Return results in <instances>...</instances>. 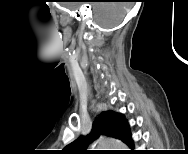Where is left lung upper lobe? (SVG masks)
Returning a JSON list of instances; mask_svg holds the SVG:
<instances>
[{"instance_id":"1","label":"left lung upper lobe","mask_w":188,"mask_h":154,"mask_svg":"<svg viewBox=\"0 0 188 154\" xmlns=\"http://www.w3.org/2000/svg\"><path fill=\"white\" fill-rule=\"evenodd\" d=\"M127 128V121L122 114L113 111L103 112L94 121L92 131L88 136H80L64 150L68 154H87L89 152L86 149L88 144L101 133L123 141Z\"/></svg>"}]
</instances>
